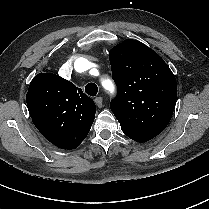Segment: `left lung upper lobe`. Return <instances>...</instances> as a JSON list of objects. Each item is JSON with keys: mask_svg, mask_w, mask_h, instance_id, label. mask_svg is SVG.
Here are the masks:
<instances>
[{"mask_svg": "<svg viewBox=\"0 0 209 209\" xmlns=\"http://www.w3.org/2000/svg\"><path fill=\"white\" fill-rule=\"evenodd\" d=\"M118 93L110 108L122 131L132 140L146 142L168 125L176 103L175 76L151 48L125 40L109 52Z\"/></svg>", "mask_w": 209, "mask_h": 209, "instance_id": "obj_1", "label": "left lung upper lobe"}]
</instances>
